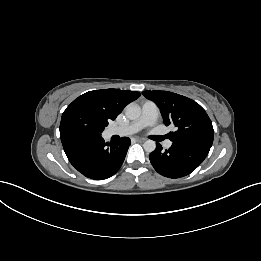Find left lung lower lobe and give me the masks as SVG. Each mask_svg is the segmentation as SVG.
<instances>
[{
  "mask_svg": "<svg viewBox=\"0 0 261 261\" xmlns=\"http://www.w3.org/2000/svg\"><path fill=\"white\" fill-rule=\"evenodd\" d=\"M210 147L191 143H172L168 150H163L157 143L150 154L154 169L168 178H180L194 171L206 158Z\"/></svg>",
  "mask_w": 261,
  "mask_h": 261,
  "instance_id": "obj_1",
  "label": "left lung lower lobe"
}]
</instances>
